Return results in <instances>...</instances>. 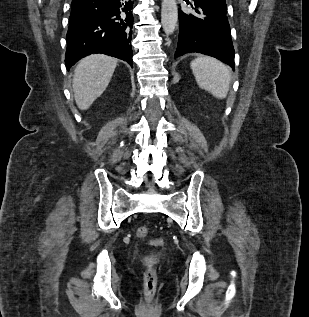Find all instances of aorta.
Returning <instances> with one entry per match:
<instances>
[{
    "label": "aorta",
    "instance_id": "aorta-1",
    "mask_svg": "<svg viewBox=\"0 0 309 317\" xmlns=\"http://www.w3.org/2000/svg\"><path fill=\"white\" fill-rule=\"evenodd\" d=\"M178 20V9L176 0H162L161 24L164 32L172 34L176 28Z\"/></svg>",
    "mask_w": 309,
    "mask_h": 317
}]
</instances>
